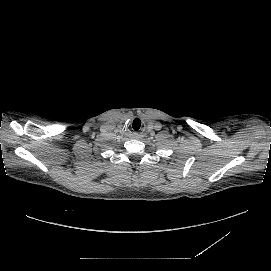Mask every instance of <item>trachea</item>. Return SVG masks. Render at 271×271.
I'll list each match as a JSON object with an SVG mask.
<instances>
[{
	"label": "trachea",
	"instance_id": "3493384b",
	"mask_svg": "<svg viewBox=\"0 0 271 271\" xmlns=\"http://www.w3.org/2000/svg\"><path fill=\"white\" fill-rule=\"evenodd\" d=\"M131 128H132V130H134V131H139V130H141V128H142V123H141V121H139V120H134V121H132V123H131Z\"/></svg>",
	"mask_w": 271,
	"mask_h": 271
}]
</instances>
